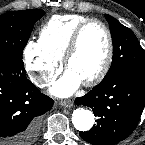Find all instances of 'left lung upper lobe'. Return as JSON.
Listing matches in <instances>:
<instances>
[{"mask_svg":"<svg viewBox=\"0 0 145 145\" xmlns=\"http://www.w3.org/2000/svg\"><path fill=\"white\" fill-rule=\"evenodd\" d=\"M113 41V60L106 80L124 71L145 74V55L135 34L112 16L105 14Z\"/></svg>","mask_w":145,"mask_h":145,"instance_id":"obj_1","label":"left lung upper lobe"}]
</instances>
